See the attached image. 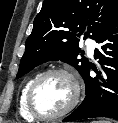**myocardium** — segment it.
<instances>
[{
  "mask_svg": "<svg viewBox=\"0 0 118 123\" xmlns=\"http://www.w3.org/2000/svg\"><path fill=\"white\" fill-rule=\"evenodd\" d=\"M56 74L65 75L71 81L73 85V96L70 103L61 112L53 115H45L40 113L35 107L34 104L35 92L39 87V85L45 79ZM80 96H81V83L78 75L74 71L68 68H63V67L52 68L38 75L37 78L30 85L27 93V108L28 111L31 113V115L38 120H43V121L58 120L64 117L65 115H67L68 113H70L76 107V105L79 102Z\"/></svg>",
  "mask_w": 118,
  "mask_h": 123,
  "instance_id": "f54148a6",
  "label": "myocardium"
}]
</instances>
